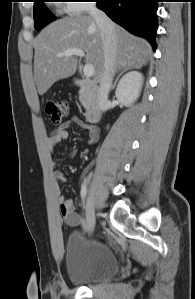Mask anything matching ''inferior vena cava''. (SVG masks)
<instances>
[{
	"mask_svg": "<svg viewBox=\"0 0 195 299\" xmlns=\"http://www.w3.org/2000/svg\"><path fill=\"white\" fill-rule=\"evenodd\" d=\"M89 15L94 18L98 28L103 45L104 53V69L99 81L98 105L101 111L108 101L112 81L115 73V65L117 58V39L115 26L107 15L97 8L96 4H91L89 7Z\"/></svg>",
	"mask_w": 195,
	"mask_h": 299,
	"instance_id": "602c4592",
	"label": "inferior vena cava"
}]
</instances>
